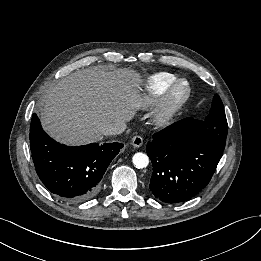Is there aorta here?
Returning <instances> with one entry per match:
<instances>
[{"instance_id": "762f6f07", "label": "aorta", "mask_w": 261, "mask_h": 261, "mask_svg": "<svg viewBox=\"0 0 261 261\" xmlns=\"http://www.w3.org/2000/svg\"><path fill=\"white\" fill-rule=\"evenodd\" d=\"M133 164L138 169L146 168L149 164V158L146 154L138 152L132 158Z\"/></svg>"}]
</instances>
